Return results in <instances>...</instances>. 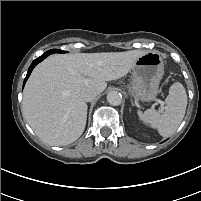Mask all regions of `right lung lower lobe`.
I'll return each mask as SVG.
<instances>
[{"label": "right lung lower lobe", "instance_id": "obj_1", "mask_svg": "<svg viewBox=\"0 0 201 201\" xmlns=\"http://www.w3.org/2000/svg\"><path fill=\"white\" fill-rule=\"evenodd\" d=\"M48 55H50V52H49V51H47V52L44 53L42 56L38 57L37 59H35V60L32 62L31 66H30L29 69H28V73H27L26 78H25V80H24L23 86H24L25 82L27 81L28 77L30 76V74H31V72H32V70H33V68H34L39 62H41L44 58H46Z\"/></svg>", "mask_w": 201, "mask_h": 201}]
</instances>
